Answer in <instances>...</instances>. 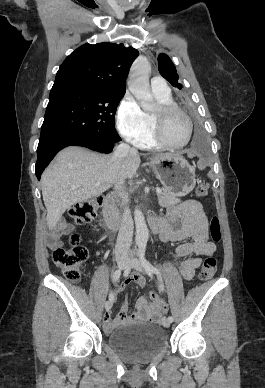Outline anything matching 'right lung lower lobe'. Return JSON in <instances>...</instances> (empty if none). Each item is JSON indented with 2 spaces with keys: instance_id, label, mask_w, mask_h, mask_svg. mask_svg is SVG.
I'll use <instances>...</instances> for the list:
<instances>
[{
  "instance_id": "right-lung-lower-lobe-1",
  "label": "right lung lower lobe",
  "mask_w": 265,
  "mask_h": 388,
  "mask_svg": "<svg viewBox=\"0 0 265 388\" xmlns=\"http://www.w3.org/2000/svg\"><path fill=\"white\" fill-rule=\"evenodd\" d=\"M115 143L99 141L83 133L65 131L40 138L37 148V162L35 174L40 180L43 170L47 167L56 153L61 149L71 146H83L101 153H110Z\"/></svg>"
}]
</instances>
